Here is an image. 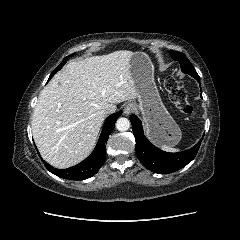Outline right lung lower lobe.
Segmentation results:
<instances>
[{
  "label": "right lung lower lobe",
  "mask_w": 240,
  "mask_h": 240,
  "mask_svg": "<svg viewBox=\"0 0 240 240\" xmlns=\"http://www.w3.org/2000/svg\"><path fill=\"white\" fill-rule=\"evenodd\" d=\"M122 114V111H119L115 114L110 115L105 123L102 130V133L100 135V138L98 140V143L92 152V154L86 158L81 163L68 168V169H56L53 168L51 165H49L47 162L43 161L45 167L55 174L58 177L71 179V180H84L87 178L92 177L94 174L98 172V170L103 166L105 156H106V142L108 140V137L110 133L114 129V124L117 120V118Z\"/></svg>",
  "instance_id": "obj_1"
}]
</instances>
